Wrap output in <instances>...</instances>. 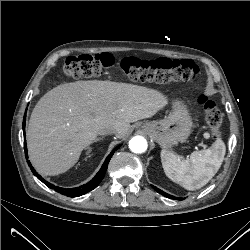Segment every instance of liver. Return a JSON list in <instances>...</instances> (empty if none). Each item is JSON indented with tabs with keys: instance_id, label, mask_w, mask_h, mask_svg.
<instances>
[{
	"instance_id": "6515ba94",
	"label": "liver",
	"mask_w": 250,
	"mask_h": 250,
	"mask_svg": "<svg viewBox=\"0 0 250 250\" xmlns=\"http://www.w3.org/2000/svg\"><path fill=\"white\" fill-rule=\"evenodd\" d=\"M167 98L142 86L111 81H78L47 92L34 107L26 133L29 158L38 172L54 176L78 161L100 131L111 126L116 137L130 123L153 117Z\"/></svg>"
}]
</instances>
